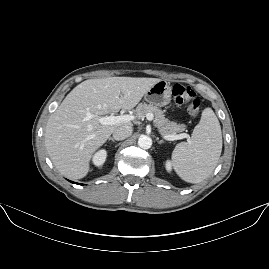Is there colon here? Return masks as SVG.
Instances as JSON below:
<instances>
[{"mask_svg": "<svg viewBox=\"0 0 269 269\" xmlns=\"http://www.w3.org/2000/svg\"><path fill=\"white\" fill-rule=\"evenodd\" d=\"M172 99L175 105H184L191 117L199 115L202 103L190 87L175 83L172 87Z\"/></svg>", "mask_w": 269, "mask_h": 269, "instance_id": "5ec220e1", "label": "colon"}]
</instances>
